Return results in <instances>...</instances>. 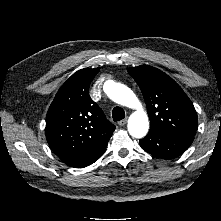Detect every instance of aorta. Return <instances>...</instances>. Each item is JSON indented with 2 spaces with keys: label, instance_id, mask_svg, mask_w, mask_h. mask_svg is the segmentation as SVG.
Listing matches in <instances>:
<instances>
[{
  "label": "aorta",
  "instance_id": "aorta-1",
  "mask_svg": "<svg viewBox=\"0 0 221 221\" xmlns=\"http://www.w3.org/2000/svg\"><path fill=\"white\" fill-rule=\"evenodd\" d=\"M106 93L115 103L136 109L129 117L128 132L134 138L144 137L149 129V119L133 91L121 83L110 82Z\"/></svg>",
  "mask_w": 221,
  "mask_h": 221
}]
</instances>
